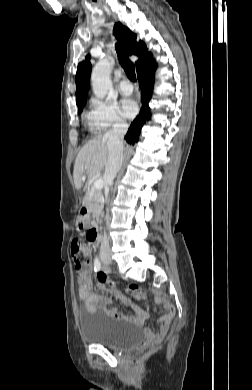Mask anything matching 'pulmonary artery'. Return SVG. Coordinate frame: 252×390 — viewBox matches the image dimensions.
<instances>
[{
    "label": "pulmonary artery",
    "instance_id": "1",
    "mask_svg": "<svg viewBox=\"0 0 252 390\" xmlns=\"http://www.w3.org/2000/svg\"><path fill=\"white\" fill-rule=\"evenodd\" d=\"M119 89L124 95H129L133 91V86L129 81L124 80L120 83Z\"/></svg>",
    "mask_w": 252,
    "mask_h": 390
}]
</instances>
